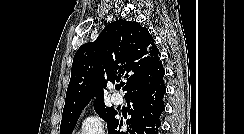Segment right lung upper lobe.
Wrapping results in <instances>:
<instances>
[{"mask_svg": "<svg viewBox=\"0 0 244 134\" xmlns=\"http://www.w3.org/2000/svg\"><path fill=\"white\" fill-rule=\"evenodd\" d=\"M163 75L161 54L148 30L136 21H114L75 53L62 119L81 114L94 97V106L104 103L108 82L123 77L127 96Z\"/></svg>", "mask_w": 244, "mask_h": 134, "instance_id": "1", "label": "right lung upper lobe"}]
</instances>
